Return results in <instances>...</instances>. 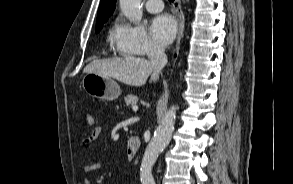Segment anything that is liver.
Returning a JSON list of instances; mask_svg holds the SVG:
<instances>
[{"mask_svg":"<svg viewBox=\"0 0 293 184\" xmlns=\"http://www.w3.org/2000/svg\"><path fill=\"white\" fill-rule=\"evenodd\" d=\"M84 73L112 77L131 86L144 85L149 76L150 82L159 79V74L154 71L150 61L133 56L93 60L84 68Z\"/></svg>","mask_w":293,"mask_h":184,"instance_id":"6515ba94","label":"liver"}]
</instances>
